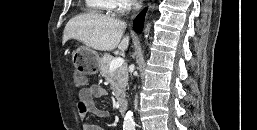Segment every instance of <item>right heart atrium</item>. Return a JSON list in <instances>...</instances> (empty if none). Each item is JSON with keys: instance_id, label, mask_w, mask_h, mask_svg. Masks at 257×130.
Wrapping results in <instances>:
<instances>
[{"instance_id": "right-heart-atrium-1", "label": "right heart atrium", "mask_w": 257, "mask_h": 130, "mask_svg": "<svg viewBox=\"0 0 257 130\" xmlns=\"http://www.w3.org/2000/svg\"><path fill=\"white\" fill-rule=\"evenodd\" d=\"M135 0H115L116 7L120 10L130 8L134 4Z\"/></svg>"}]
</instances>
